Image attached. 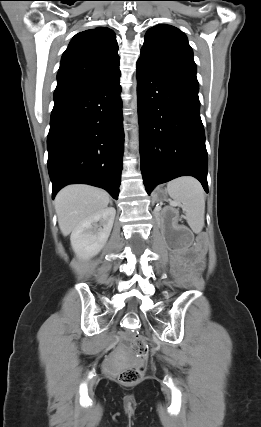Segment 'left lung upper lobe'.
I'll return each instance as SVG.
<instances>
[{
	"label": "left lung upper lobe",
	"instance_id": "obj_1",
	"mask_svg": "<svg viewBox=\"0 0 261 427\" xmlns=\"http://www.w3.org/2000/svg\"><path fill=\"white\" fill-rule=\"evenodd\" d=\"M140 58L196 75L192 48L186 36L171 25L159 24L146 32Z\"/></svg>",
	"mask_w": 261,
	"mask_h": 427
}]
</instances>
